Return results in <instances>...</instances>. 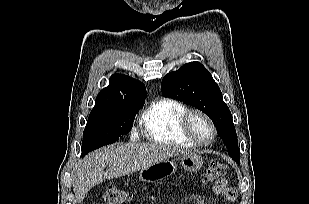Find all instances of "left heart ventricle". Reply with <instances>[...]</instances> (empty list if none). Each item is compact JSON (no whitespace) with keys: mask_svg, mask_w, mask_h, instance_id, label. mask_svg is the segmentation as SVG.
<instances>
[{"mask_svg":"<svg viewBox=\"0 0 309 204\" xmlns=\"http://www.w3.org/2000/svg\"><path fill=\"white\" fill-rule=\"evenodd\" d=\"M193 133L201 141H208L211 138V129L208 123L200 116H194L191 120Z\"/></svg>","mask_w":309,"mask_h":204,"instance_id":"left-heart-ventricle-1","label":"left heart ventricle"}]
</instances>
